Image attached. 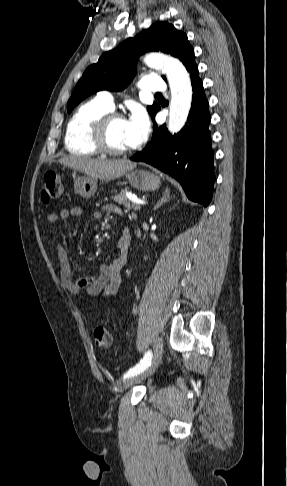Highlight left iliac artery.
Here are the masks:
<instances>
[{"mask_svg":"<svg viewBox=\"0 0 287 486\" xmlns=\"http://www.w3.org/2000/svg\"><path fill=\"white\" fill-rule=\"evenodd\" d=\"M151 359H152V352L148 351L143 359L136 364L134 367L130 368L123 376V379L132 377L134 375L139 374L143 370H145L150 364H151Z\"/></svg>","mask_w":287,"mask_h":486,"instance_id":"left-iliac-artery-1","label":"left iliac artery"}]
</instances>
